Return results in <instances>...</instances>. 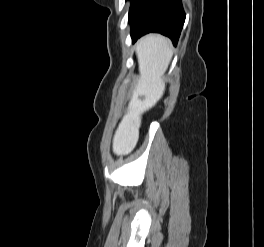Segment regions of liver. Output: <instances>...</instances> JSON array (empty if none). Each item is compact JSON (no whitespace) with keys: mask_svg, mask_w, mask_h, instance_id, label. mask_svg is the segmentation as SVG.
Here are the masks:
<instances>
[{"mask_svg":"<svg viewBox=\"0 0 264 247\" xmlns=\"http://www.w3.org/2000/svg\"><path fill=\"white\" fill-rule=\"evenodd\" d=\"M140 77L133 90L128 109L114 138L113 152L129 154L138 141L142 114L161 99L165 91L164 74L173 56L171 42L159 34H149L136 44ZM143 96L144 99H139Z\"/></svg>","mask_w":264,"mask_h":247,"instance_id":"obj_1","label":"liver"}]
</instances>
